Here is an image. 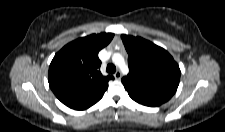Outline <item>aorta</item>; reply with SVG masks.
<instances>
[{
  "instance_id": "1",
  "label": "aorta",
  "mask_w": 225,
  "mask_h": 132,
  "mask_svg": "<svg viewBox=\"0 0 225 132\" xmlns=\"http://www.w3.org/2000/svg\"><path fill=\"white\" fill-rule=\"evenodd\" d=\"M112 60L116 65L120 66L121 68L125 67L123 57L120 54H114Z\"/></svg>"
}]
</instances>
